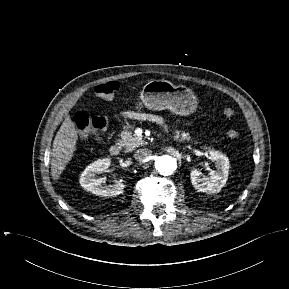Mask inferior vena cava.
I'll return each instance as SVG.
<instances>
[{
    "label": "inferior vena cava",
    "instance_id": "obj_1",
    "mask_svg": "<svg viewBox=\"0 0 289 289\" xmlns=\"http://www.w3.org/2000/svg\"><path fill=\"white\" fill-rule=\"evenodd\" d=\"M150 155H151V152L147 148L138 149L134 154V158L137 161L143 162V161L147 160Z\"/></svg>",
    "mask_w": 289,
    "mask_h": 289
}]
</instances>
